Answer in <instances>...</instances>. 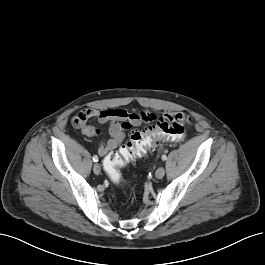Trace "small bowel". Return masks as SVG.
Masks as SVG:
<instances>
[{
  "label": "small bowel",
  "instance_id": "1",
  "mask_svg": "<svg viewBox=\"0 0 265 265\" xmlns=\"http://www.w3.org/2000/svg\"><path fill=\"white\" fill-rule=\"evenodd\" d=\"M167 118L186 119L181 113H170ZM152 119L153 115L146 112L129 113L122 109L97 110L86 108L73 116L71 123L75 128L80 129L86 137H95L100 133L97 128L87 124L89 120H96L99 124H107L109 138L101 142L97 150L99 156L105 157L122 143L127 131L139 126L142 122H149Z\"/></svg>",
  "mask_w": 265,
  "mask_h": 265
}]
</instances>
